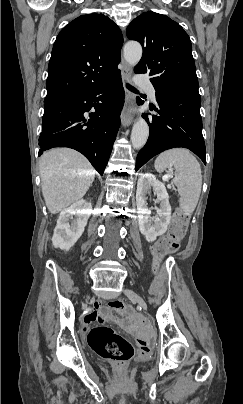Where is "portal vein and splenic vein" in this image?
I'll use <instances>...</instances> for the list:
<instances>
[{
    "label": "portal vein and splenic vein",
    "mask_w": 243,
    "mask_h": 404,
    "mask_svg": "<svg viewBox=\"0 0 243 404\" xmlns=\"http://www.w3.org/2000/svg\"><path fill=\"white\" fill-rule=\"evenodd\" d=\"M78 176H81V174H78ZM171 178H172L171 174H164L162 178V183L166 184L167 182L170 181Z\"/></svg>",
    "instance_id": "18ae733b"
}]
</instances>
